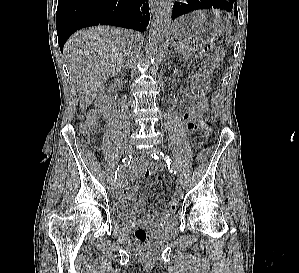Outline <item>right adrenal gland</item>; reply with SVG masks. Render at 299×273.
Masks as SVG:
<instances>
[{"label":"right adrenal gland","mask_w":299,"mask_h":273,"mask_svg":"<svg viewBox=\"0 0 299 273\" xmlns=\"http://www.w3.org/2000/svg\"><path fill=\"white\" fill-rule=\"evenodd\" d=\"M128 62H126V66H127ZM125 66L122 67V70H124Z\"/></svg>","instance_id":"2a0ac1e0"}]
</instances>
